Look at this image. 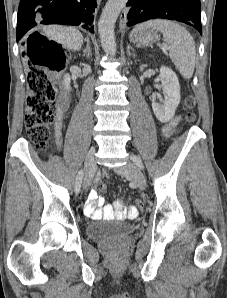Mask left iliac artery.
<instances>
[{
  "label": "left iliac artery",
  "instance_id": "obj_1",
  "mask_svg": "<svg viewBox=\"0 0 227 298\" xmlns=\"http://www.w3.org/2000/svg\"><path fill=\"white\" fill-rule=\"evenodd\" d=\"M132 160H133L134 162H136V164H137L140 168L143 167L140 158H138L137 156H132Z\"/></svg>",
  "mask_w": 227,
  "mask_h": 298
}]
</instances>
